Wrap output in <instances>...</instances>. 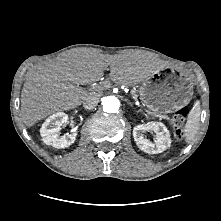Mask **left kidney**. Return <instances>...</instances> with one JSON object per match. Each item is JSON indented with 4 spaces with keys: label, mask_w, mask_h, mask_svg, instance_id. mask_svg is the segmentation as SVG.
I'll return each mask as SVG.
<instances>
[{
    "label": "left kidney",
    "mask_w": 221,
    "mask_h": 221,
    "mask_svg": "<svg viewBox=\"0 0 221 221\" xmlns=\"http://www.w3.org/2000/svg\"><path fill=\"white\" fill-rule=\"evenodd\" d=\"M149 130L156 134L155 143L144 138L143 133ZM133 137L137 146L146 153H161L171 145L169 131L161 122H148L135 126L133 128Z\"/></svg>",
    "instance_id": "obj_1"
}]
</instances>
